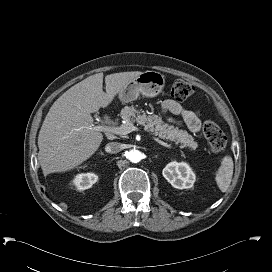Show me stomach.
Segmentation results:
<instances>
[{
    "label": "stomach",
    "instance_id": "obj_1",
    "mask_svg": "<svg viewBox=\"0 0 272 272\" xmlns=\"http://www.w3.org/2000/svg\"><path fill=\"white\" fill-rule=\"evenodd\" d=\"M165 85V77L157 71H146L130 81L119 93L123 103L136 100L139 95L152 98L160 94Z\"/></svg>",
    "mask_w": 272,
    "mask_h": 272
}]
</instances>
